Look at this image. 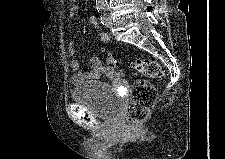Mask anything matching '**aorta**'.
Returning a JSON list of instances; mask_svg holds the SVG:
<instances>
[{
    "label": "aorta",
    "instance_id": "1",
    "mask_svg": "<svg viewBox=\"0 0 225 159\" xmlns=\"http://www.w3.org/2000/svg\"><path fill=\"white\" fill-rule=\"evenodd\" d=\"M96 5L98 7H106L107 6V0H96Z\"/></svg>",
    "mask_w": 225,
    "mask_h": 159
}]
</instances>
